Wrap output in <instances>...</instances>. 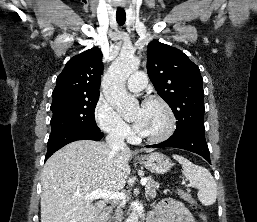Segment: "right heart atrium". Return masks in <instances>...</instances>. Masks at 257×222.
I'll return each mask as SVG.
<instances>
[{"mask_svg":"<svg viewBox=\"0 0 257 222\" xmlns=\"http://www.w3.org/2000/svg\"><path fill=\"white\" fill-rule=\"evenodd\" d=\"M104 112L115 118L116 123L112 127L108 128L101 122V115ZM94 116L100 129L111 137L119 140H126L131 137V130L128 124L120 118L114 108L103 97H101L96 103Z\"/></svg>","mask_w":257,"mask_h":222,"instance_id":"right-heart-atrium-1","label":"right heart atrium"}]
</instances>
